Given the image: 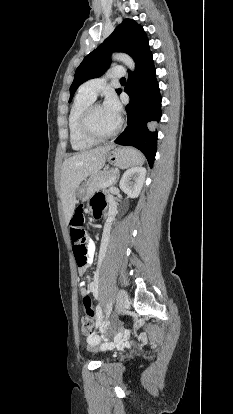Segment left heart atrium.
Returning a JSON list of instances; mask_svg holds the SVG:
<instances>
[{
	"mask_svg": "<svg viewBox=\"0 0 233 414\" xmlns=\"http://www.w3.org/2000/svg\"><path fill=\"white\" fill-rule=\"evenodd\" d=\"M103 108L113 117L117 119L120 117L121 106L114 95H109L106 98Z\"/></svg>",
	"mask_w": 233,
	"mask_h": 414,
	"instance_id": "left-heart-atrium-1",
	"label": "left heart atrium"
}]
</instances>
